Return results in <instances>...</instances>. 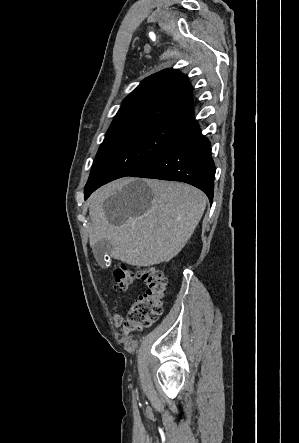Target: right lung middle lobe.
Instances as JSON below:
<instances>
[{
	"label": "right lung middle lobe",
	"mask_w": 299,
	"mask_h": 443,
	"mask_svg": "<svg viewBox=\"0 0 299 443\" xmlns=\"http://www.w3.org/2000/svg\"><path fill=\"white\" fill-rule=\"evenodd\" d=\"M182 127L180 121L143 120L107 133L85 186V198L98 187L128 176L151 160L177 137Z\"/></svg>",
	"instance_id": "1"
}]
</instances>
